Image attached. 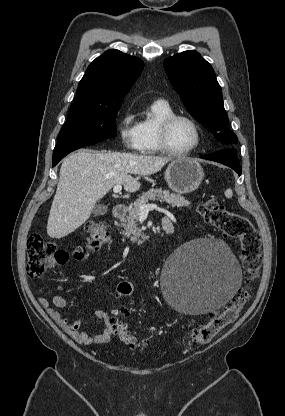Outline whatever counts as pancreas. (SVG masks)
<instances>
[{"instance_id":"cf45deb5","label":"pancreas","mask_w":285,"mask_h":416,"mask_svg":"<svg viewBox=\"0 0 285 416\" xmlns=\"http://www.w3.org/2000/svg\"><path fill=\"white\" fill-rule=\"evenodd\" d=\"M149 200H159V202H167L171 204L172 208H182V206H190V202L185 200L183 196H176V194H170L169 190H148L142 196H139L138 200L134 202L133 206H130L129 216L127 220H121L122 236L125 238H130V242H142V240H147L148 236H145L141 230L138 228L137 220L140 216V206L143 204H148ZM141 238V240H140Z\"/></svg>"}]
</instances>
